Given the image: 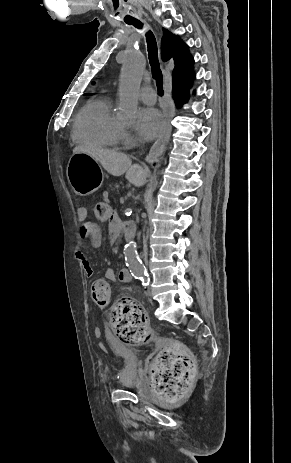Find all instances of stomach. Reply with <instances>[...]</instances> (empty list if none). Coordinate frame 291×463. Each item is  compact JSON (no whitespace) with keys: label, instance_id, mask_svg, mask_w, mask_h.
I'll return each mask as SVG.
<instances>
[{"label":"stomach","instance_id":"obj_1","mask_svg":"<svg viewBox=\"0 0 291 463\" xmlns=\"http://www.w3.org/2000/svg\"><path fill=\"white\" fill-rule=\"evenodd\" d=\"M67 177L74 192L78 195L93 193L101 181L98 162L86 153H74L67 165Z\"/></svg>","mask_w":291,"mask_h":463}]
</instances>
